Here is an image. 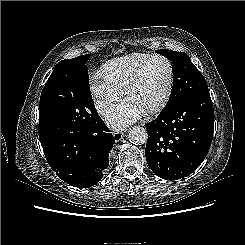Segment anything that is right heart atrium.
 <instances>
[{"label": "right heart atrium", "instance_id": "1", "mask_svg": "<svg viewBox=\"0 0 245 245\" xmlns=\"http://www.w3.org/2000/svg\"><path fill=\"white\" fill-rule=\"evenodd\" d=\"M89 85L95 107L101 114H104L123 95V90L113 85L101 71H94L90 75Z\"/></svg>", "mask_w": 245, "mask_h": 245}]
</instances>
